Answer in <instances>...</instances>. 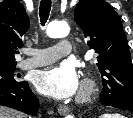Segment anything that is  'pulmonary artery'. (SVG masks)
<instances>
[{"mask_svg":"<svg viewBox=\"0 0 133 118\" xmlns=\"http://www.w3.org/2000/svg\"><path fill=\"white\" fill-rule=\"evenodd\" d=\"M71 51L72 44L67 39L60 40L47 48L27 50L31 57L21 61L19 67L25 70L47 65L69 55Z\"/></svg>","mask_w":133,"mask_h":118,"instance_id":"e3ab8cb5","label":"pulmonary artery"}]
</instances>
